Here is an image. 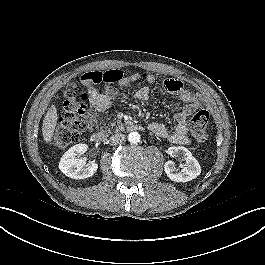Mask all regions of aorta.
<instances>
[{"label":"aorta","instance_id":"1","mask_svg":"<svg viewBox=\"0 0 265 265\" xmlns=\"http://www.w3.org/2000/svg\"><path fill=\"white\" fill-rule=\"evenodd\" d=\"M141 136L138 132H130L128 135V140L130 143L137 144L140 142Z\"/></svg>","mask_w":265,"mask_h":265}]
</instances>
